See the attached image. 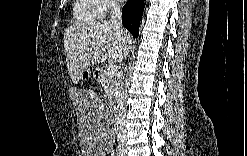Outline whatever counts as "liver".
Masks as SVG:
<instances>
[{
    "label": "liver",
    "instance_id": "6515ba94",
    "mask_svg": "<svg viewBox=\"0 0 247 156\" xmlns=\"http://www.w3.org/2000/svg\"><path fill=\"white\" fill-rule=\"evenodd\" d=\"M132 39L122 27L110 21L75 23L66 28L64 49L67 68L74 84L92 65L104 62L120 63Z\"/></svg>",
    "mask_w": 247,
    "mask_h": 156
}]
</instances>
